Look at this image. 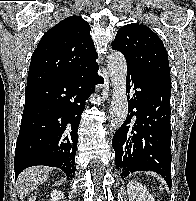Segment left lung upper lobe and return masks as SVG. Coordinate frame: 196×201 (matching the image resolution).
<instances>
[{"mask_svg":"<svg viewBox=\"0 0 196 201\" xmlns=\"http://www.w3.org/2000/svg\"><path fill=\"white\" fill-rule=\"evenodd\" d=\"M111 45L112 49L123 53L127 70L171 89L166 49L158 35L147 26L132 23L121 27Z\"/></svg>","mask_w":196,"mask_h":201,"instance_id":"5c2ea615","label":"left lung upper lobe"}]
</instances>
